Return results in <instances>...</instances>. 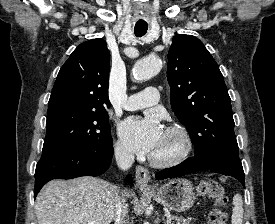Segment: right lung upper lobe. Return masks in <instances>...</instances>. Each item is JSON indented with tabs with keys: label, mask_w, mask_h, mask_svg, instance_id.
I'll list each match as a JSON object with an SVG mask.
<instances>
[{
	"label": "right lung upper lobe",
	"mask_w": 275,
	"mask_h": 224,
	"mask_svg": "<svg viewBox=\"0 0 275 224\" xmlns=\"http://www.w3.org/2000/svg\"><path fill=\"white\" fill-rule=\"evenodd\" d=\"M110 52L106 42L80 44L61 67L48 103V114L61 110L106 111Z\"/></svg>",
	"instance_id": "obj_1"
}]
</instances>
